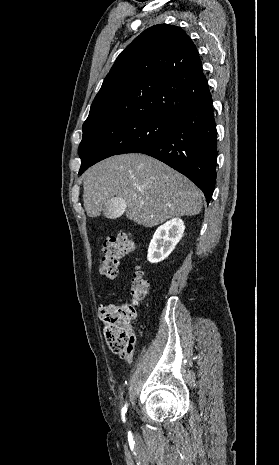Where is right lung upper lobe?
<instances>
[{"label": "right lung upper lobe", "mask_w": 279, "mask_h": 465, "mask_svg": "<svg viewBox=\"0 0 279 465\" xmlns=\"http://www.w3.org/2000/svg\"><path fill=\"white\" fill-rule=\"evenodd\" d=\"M210 96L198 50L179 27L152 26L117 57L83 130L132 117L174 119Z\"/></svg>", "instance_id": "obj_1"}]
</instances>
